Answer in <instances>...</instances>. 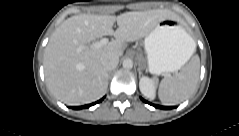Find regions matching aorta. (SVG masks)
Listing matches in <instances>:
<instances>
[{
	"mask_svg": "<svg viewBox=\"0 0 239 136\" xmlns=\"http://www.w3.org/2000/svg\"><path fill=\"white\" fill-rule=\"evenodd\" d=\"M123 67L125 69H131L133 67V61L131 59H125L123 61Z\"/></svg>",
	"mask_w": 239,
	"mask_h": 136,
	"instance_id": "obj_1",
	"label": "aorta"
}]
</instances>
